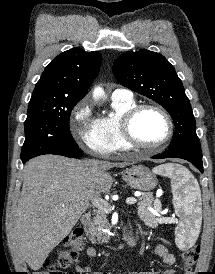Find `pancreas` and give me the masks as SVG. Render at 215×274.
I'll use <instances>...</instances> for the list:
<instances>
[{
  "label": "pancreas",
  "instance_id": "cf45deb5",
  "mask_svg": "<svg viewBox=\"0 0 215 274\" xmlns=\"http://www.w3.org/2000/svg\"><path fill=\"white\" fill-rule=\"evenodd\" d=\"M152 208L158 211L161 210L160 201L154 200L152 193L143 192L139 198L138 215L147 225L153 227L158 224V219L151 212ZM104 228H107V213L102 210H96L93 220L85 225V231L92 243L102 244L110 240L109 236L102 232Z\"/></svg>",
  "mask_w": 215,
  "mask_h": 274
}]
</instances>
